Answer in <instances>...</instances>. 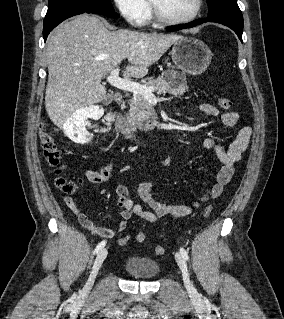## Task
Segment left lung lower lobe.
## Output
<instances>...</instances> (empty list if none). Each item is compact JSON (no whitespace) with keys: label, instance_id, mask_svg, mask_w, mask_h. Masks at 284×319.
I'll return each mask as SVG.
<instances>
[{"label":"left lung lower lobe","instance_id":"obj_1","mask_svg":"<svg viewBox=\"0 0 284 319\" xmlns=\"http://www.w3.org/2000/svg\"><path fill=\"white\" fill-rule=\"evenodd\" d=\"M205 22H217L231 28L238 35L241 42H243L242 41V32H243V26H244L243 18H237V17H231V16L207 17V18L199 19L190 24L169 27L167 28V30L176 31V30L191 28Z\"/></svg>","mask_w":284,"mask_h":319}]
</instances>
